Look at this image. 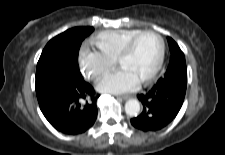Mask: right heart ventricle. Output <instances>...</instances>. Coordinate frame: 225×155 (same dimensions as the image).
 Segmentation results:
<instances>
[{
    "mask_svg": "<svg viewBox=\"0 0 225 155\" xmlns=\"http://www.w3.org/2000/svg\"><path fill=\"white\" fill-rule=\"evenodd\" d=\"M140 31V29L105 30L93 38V43L100 52L115 60L125 43Z\"/></svg>",
    "mask_w": 225,
    "mask_h": 155,
    "instance_id": "obj_1",
    "label": "right heart ventricle"
}]
</instances>
